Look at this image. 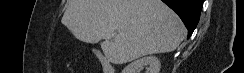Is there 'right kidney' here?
Instances as JSON below:
<instances>
[{
	"label": "right kidney",
	"instance_id": "obj_1",
	"mask_svg": "<svg viewBox=\"0 0 244 73\" xmlns=\"http://www.w3.org/2000/svg\"><path fill=\"white\" fill-rule=\"evenodd\" d=\"M143 67H147L149 73H159L161 64L155 56L143 57L127 65L122 73H138Z\"/></svg>",
	"mask_w": 244,
	"mask_h": 73
}]
</instances>
